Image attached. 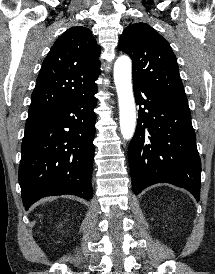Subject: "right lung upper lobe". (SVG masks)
<instances>
[{"label": "right lung upper lobe", "instance_id": "cb5924a9", "mask_svg": "<svg viewBox=\"0 0 215 274\" xmlns=\"http://www.w3.org/2000/svg\"><path fill=\"white\" fill-rule=\"evenodd\" d=\"M100 47L86 27L66 30L44 59L29 113H47L88 92L100 74Z\"/></svg>", "mask_w": 215, "mask_h": 274}]
</instances>
